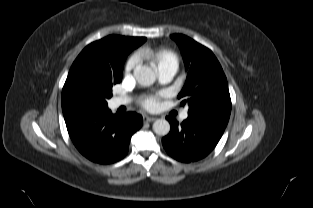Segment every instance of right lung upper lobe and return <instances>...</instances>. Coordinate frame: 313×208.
<instances>
[{"label": "right lung upper lobe", "mask_w": 313, "mask_h": 208, "mask_svg": "<svg viewBox=\"0 0 313 208\" xmlns=\"http://www.w3.org/2000/svg\"><path fill=\"white\" fill-rule=\"evenodd\" d=\"M146 41L145 37H125L109 35L86 46L72 64L67 79L74 73L85 69L102 68L111 65L114 51L127 55ZM126 59V58H125ZM63 91V90H62ZM67 99L62 93V100Z\"/></svg>", "instance_id": "cb5924a9"}]
</instances>
